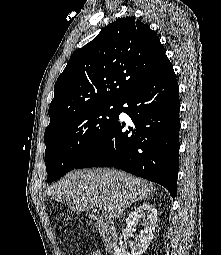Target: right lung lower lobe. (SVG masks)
<instances>
[{"instance_id":"obj_1","label":"right lung lower lobe","mask_w":221,"mask_h":255,"mask_svg":"<svg viewBox=\"0 0 221 255\" xmlns=\"http://www.w3.org/2000/svg\"><path fill=\"white\" fill-rule=\"evenodd\" d=\"M119 121L108 129L89 154L75 167H115L164 186L173 199L179 169V87L165 57L119 102Z\"/></svg>"}]
</instances>
